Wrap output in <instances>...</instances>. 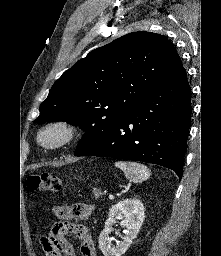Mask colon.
I'll list each match as a JSON object with an SVG mask.
<instances>
[{
    "label": "colon",
    "mask_w": 221,
    "mask_h": 256,
    "mask_svg": "<svg viewBox=\"0 0 221 256\" xmlns=\"http://www.w3.org/2000/svg\"><path fill=\"white\" fill-rule=\"evenodd\" d=\"M26 186L29 191H44L55 193L61 190V180L50 173H35L27 178Z\"/></svg>",
    "instance_id": "colon-1"
}]
</instances>
